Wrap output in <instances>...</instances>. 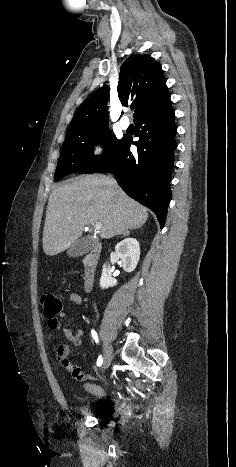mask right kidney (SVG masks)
I'll return each instance as SVG.
<instances>
[{
    "label": "right kidney",
    "mask_w": 236,
    "mask_h": 467,
    "mask_svg": "<svg viewBox=\"0 0 236 467\" xmlns=\"http://www.w3.org/2000/svg\"><path fill=\"white\" fill-rule=\"evenodd\" d=\"M117 256L122 261V267L126 272L135 270L140 258L139 242L135 238H126L119 242L115 247ZM117 284V280L111 277L106 264L103 265L102 275L100 278V287L102 289L113 287Z\"/></svg>",
    "instance_id": "ca27d5eb"
}]
</instances>
